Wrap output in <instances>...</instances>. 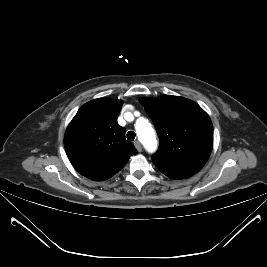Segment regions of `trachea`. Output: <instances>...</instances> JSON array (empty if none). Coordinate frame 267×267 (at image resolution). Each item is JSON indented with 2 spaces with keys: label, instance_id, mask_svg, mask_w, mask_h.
<instances>
[{
  "label": "trachea",
  "instance_id": "obj_1",
  "mask_svg": "<svg viewBox=\"0 0 267 267\" xmlns=\"http://www.w3.org/2000/svg\"><path fill=\"white\" fill-rule=\"evenodd\" d=\"M135 136H136V134H135V132H133V131H129V132L127 133V135H126V137H127V139H128L129 141H134Z\"/></svg>",
  "mask_w": 267,
  "mask_h": 267
}]
</instances>
